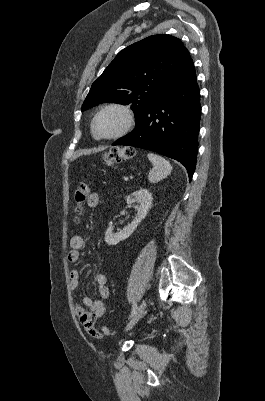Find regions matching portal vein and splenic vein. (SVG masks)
<instances>
[{"label": "portal vein and splenic vein", "mask_w": 265, "mask_h": 401, "mask_svg": "<svg viewBox=\"0 0 265 401\" xmlns=\"http://www.w3.org/2000/svg\"><path fill=\"white\" fill-rule=\"evenodd\" d=\"M123 180H124V181H127V180H128V177H127V176H124V177H123Z\"/></svg>", "instance_id": "obj_1"}]
</instances>
